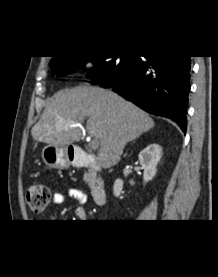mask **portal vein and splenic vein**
Returning a JSON list of instances; mask_svg holds the SVG:
<instances>
[{
	"instance_id": "18ae733b",
	"label": "portal vein and splenic vein",
	"mask_w": 218,
	"mask_h": 277,
	"mask_svg": "<svg viewBox=\"0 0 218 277\" xmlns=\"http://www.w3.org/2000/svg\"><path fill=\"white\" fill-rule=\"evenodd\" d=\"M77 125H79L78 122H71L69 127H74V126H77ZM90 147L94 150L98 149V147H99L98 141L96 139L92 140V142L90 143Z\"/></svg>"
}]
</instances>
